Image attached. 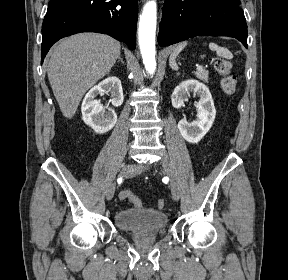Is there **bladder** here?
Returning <instances> with one entry per match:
<instances>
[{
  "label": "bladder",
  "instance_id": "bladder-1",
  "mask_svg": "<svg viewBox=\"0 0 288 280\" xmlns=\"http://www.w3.org/2000/svg\"><path fill=\"white\" fill-rule=\"evenodd\" d=\"M115 226L129 232H158L166 228L168 216L165 212L151 209H121L113 217Z\"/></svg>",
  "mask_w": 288,
  "mask_h": 280
}]
</instances>
